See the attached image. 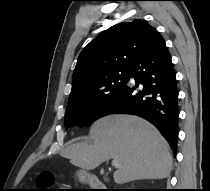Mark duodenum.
<instances>
[{
  "mask_svg": "<svg viewBox=\"0 0 210 191\" xmlns=\"http://www.w3.org/2000/svg\"><path fill=\"white\" fill-rule=\"evenodd\" d=\"M80 178L87 181L94 189V191H115L107 188L105 184L101 183L98 179L89 176L86 172H80Z\"/></svg>",
  "mask_w": 210,
  "mask_h": 191,
  "instance_id": "410a0bca",
  "label": "duodenum"
}]
</instances>
